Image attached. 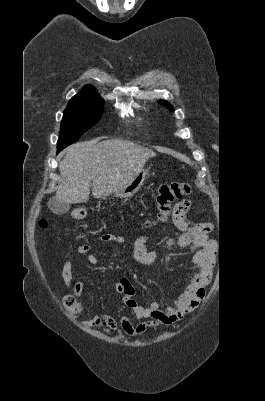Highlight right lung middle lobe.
I'll use <instances>...</instances> for the list:
<instances>
[{"mask_svg":"<svg viewBox=\"0 0 265 401\" xmlns=\"http://www.w3.org/2000/svg\"><path fill=\"white\" fill-rule=\"evenodd\" d=\"M104 111V102L67 106L61 122L57 153L78 141L79 137L94 126Z\"/></svg>","mask_w":265,"mask_h":401,"instance_id":"dd1d6c3e","label":"right lung middle lobe"}]
</instances>
